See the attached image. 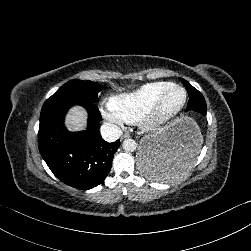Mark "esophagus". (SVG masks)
I'll use <instances>...</instances> for the list:
<instances>
[{
  "instance_id": "obj_1",
  "label": "esophagus",
  "mask_w": 251,
  "mask_h": 251,
  "mask_svg": "<svg viewBox=\"0 0 251 251\" xmlns=\"http://www.w3.org/2000/svg\"><path fill=\"white\" fill-rule=\"evenodd\" d=\"M130 137V135L128 134V133H125L124 135H123V138H129Z\"/></svg>"
}]
</instances>
